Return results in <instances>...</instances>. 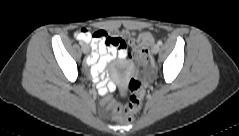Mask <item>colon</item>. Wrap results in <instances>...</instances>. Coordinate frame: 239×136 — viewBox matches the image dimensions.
<instances>
[{
    "label": "colon",
    "mask_w": 239,
    "mask_h": 136,
    "mask_svg": "<svg viewBox=\"0 0 239 136\" xmlns=\"http://www.w3.org/2000/svg\"><path fill=\"white\" fill-rule=\"evenodd\" d=\"M89 31L81 29L78 33L82 38H88ZM105 35V42L108 46L122 47L125 45L124 40L115 34H108L107 32H98V37ZM152 35L149 33H142L139 36L132 38L130 44L132 46V58L136 62L139 69H146L150 65V58L148 47L152 43ZM129 91V100L125 105H115L113 107V118L118 122H128L132 115L135 114L142 106L143 102V84L140 79L133 77L127 84Z\"/></svg>",
    "instance_id": "5ec220e1"
}]
</instances>
